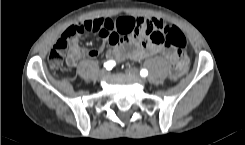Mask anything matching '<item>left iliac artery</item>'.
Instances as JSON below:
<instances>
[{
  "instance_id": "1",
  "label": "left iliac artery",
  "mask_w": 245,
  "mask_h": 145,
  "mask_svg": "<svg viewBox=\"0 0 245 145\" xmlns=\"http://www.w3.org/2000/svg\"><path fill=\"white\" fill-rule=\"evenodd\" d=\"M140 75H141L142 77H146V76L148 75V71H147L146 69H142V70L140 71Z\"/></svg>"
}]
</instances>
